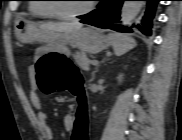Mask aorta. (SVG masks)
Masks as SVG:
<instances>
[{
    "label": "aorta",
    "instance_id": "aorta-1",
    "mask_svg": "<svg viewBox=\"0 0 182 140\" xmlns=\"http://www.w3.org/2000/svg\"><path fill=\"white\" fill-rule=\"evenodd\" d=\"M144 1H125L121 10V20L130 23L139 14Z\"/></svg>",
    "mask_w": 182,
    "mask_h": 140
}]
</instances>
